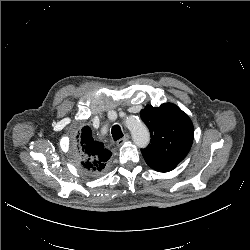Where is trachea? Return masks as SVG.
Segmentation results:
<instances>
[{
	"label": "trachea",
	"instance_id": "trachea-1",
	"mask_svg": "<svg viewBox=\"0 0 250 250\" xmlns=\"http://www.w3.org/2000/svg\"><path fill=\"white\" fill-rule=\"evenodd\" d=\"M114 141L121 139L124 135L119 125H114L111 130Z\"/></svg>",
	"mask_w": 250,
	"mask_h": 250
}]
</instances>
